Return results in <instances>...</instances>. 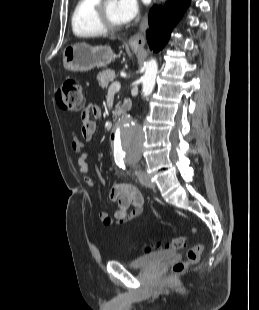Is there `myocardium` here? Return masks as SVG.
I'll return each instance as SVG.
<instances>
[{
  "instance_id": "1",
  "label": "myocardium",
  "mask_w": 259,
  "mask_h": 310,
  "mask_svg": "<svg viewBox=\"0 0 259 310\" xmlns=\"http://www.w3.org/2000/svg\"><path fill=\"white\" fill-rule=\"evenodd\" d=\"M108 0H98L94 7L95 22L103 32H114L120 30L123 25L111 23L106 14V4Z\"/></svg>"
}]
</instances>
